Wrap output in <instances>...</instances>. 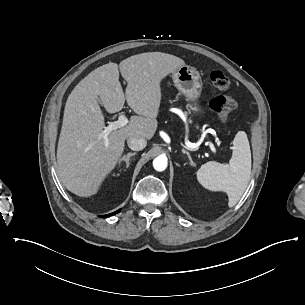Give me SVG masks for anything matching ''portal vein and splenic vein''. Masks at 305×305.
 Wrapping results in <instances>:
<instances>
[{"label": "portal vein and splenic vein", "instance_id": "portal-vein-and-splenic-vein-1", "mask_svg": "<svg viewBox=\"0 0 305 305\" xmlns=\"http://www.w3.org/2000/svg\"><path fill=\"white\" fill-rule=\"evenodd\" d=\"M176 109L177 111L175 112L176 114H178L181 118L183 116V113L181 110L177 109V108H174ZM128 124V119L126 118L125 115H120L118 120L117 121H114V122H110V124L105 127V129L101 132V134L99 135L100 138H103L104 140H108V135L113 131V130H116L118 128H121L125 125ZM209 146H210V149L212 152H216V149L213 145V143H209Z\"/></svg>", "mask_w": 305, "mask_h": 305}]
</instances>
